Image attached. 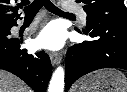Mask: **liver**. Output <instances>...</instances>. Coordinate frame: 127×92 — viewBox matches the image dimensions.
Listing matches in <instances>:
<instances>
[{"label": "liver", "mask_w": 127, "mask_h": 92, "mask_svg": "<svg viewBox=\"0 0 127 92\" xmlns=\"http://www.w3.org/2000/svg\"><path fill=\"white\" fill-rule=\"evenodd\" d=\"M0 92H31V90L21 79L0 69Z\"/></svg>", "instance_id": "1"}]
</instances>
